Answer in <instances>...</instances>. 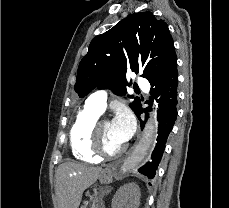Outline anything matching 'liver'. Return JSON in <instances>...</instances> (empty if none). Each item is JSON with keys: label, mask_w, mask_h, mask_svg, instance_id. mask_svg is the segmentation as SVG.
Listing matches in <instances>:
<instances>
[{"label": "liver", "mask_w": 229, "mask_h": 208, "mask_svg": "<svg viewBox=\"0 0 229 208\" xmlns=\"http://www.w3.org/2000/svg\"><path fill=\"white\" fill-rule=\"evenodd\" d=\"M102 168L86 164L65 162L56 172V196L58 208H79L84 190L97 182Z\"/></svg>", "instance_id": "liver-1"}]
</instances>
